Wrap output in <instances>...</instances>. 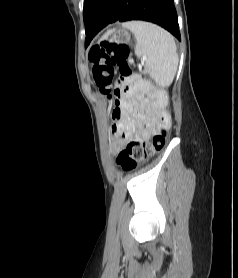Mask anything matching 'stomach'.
Segmentation results:
<instances>
[{
  "label": "stomach",
  "instance_id": "stomach-1",
  "mask_svg": "<svg viewBox=\"0 0 238 278\" xmlns=\"http://www.w3.org/2000/svg\"><path fill=\"white\" fill-rule=\"evenodd\" d=\"M110 40L119 44L128 43L130 41V33L124 28L110 29L107 33Z\"/></svg>",
  "mask_w": 238,
  "mask_h": 278
}]
</instances>
